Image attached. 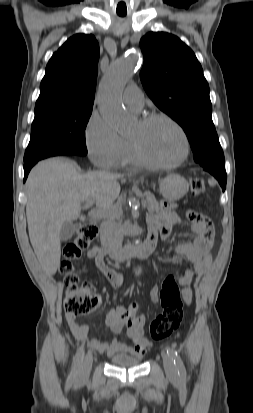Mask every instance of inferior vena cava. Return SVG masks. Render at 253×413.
I'll use <instances>...</instances> for the list:
<instances>
[{
    "instance_id": "1",
    "label": "inferior vena cava",
    "mask_w": 253,
    "mask_h": 413,
    "mask_svg": "<svg viewBox=\"0 0 253 413\" xmlns=\"http://www.w3.org/2000/svg\"><path fill=\"white\" fill-rule=\"evenodd\" d=\"M101 239L114 250L122 248L121 233L109 222H104L100 228Z\"/></svg>"
}]
</instances>
